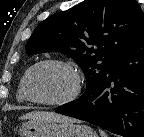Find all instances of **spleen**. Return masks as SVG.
<instances>
[{
	"instance_id": "spleen-1",
	"label": "spleen",
	"mask_w": 144,
	"mask_h": 137,
	"mask_svg": "<svg viewBox=\"0 0 144 137\" xmlns=\"http://www.w3.org/2000/svg\"><path fill=\"white\" fill-rule=\"evenodd\" d=\"M101 137H108L107 134L103 130H99Z\"/></svg>"
}]
</instances>
